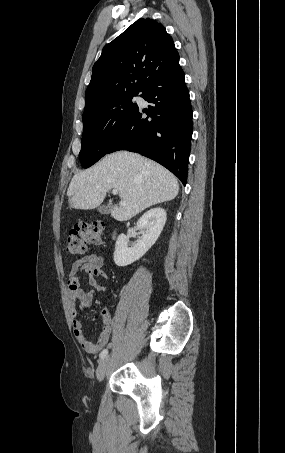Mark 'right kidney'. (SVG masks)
<instances>
[{
  "label": "right kidney",
  "instance_id": "obj_1",
  "mask_svg": "<svg viewBox=\"0 0 285 453\" xmlns=\"http://www.w3.org/2000/svg\"><path fill=\"white\" fill-rule=\"evenodd\" d=\"M167 220L166 211L157 207L144 213L137 222L141 239L131 248H128V237L120 234L114 251V262L117 266L124 267L139 260L157 241Z\"/></svg>",
  "mask_w": 285,
  "mask_h": 453
}]
</instances>
